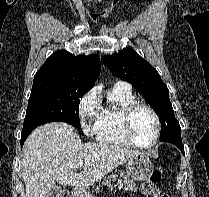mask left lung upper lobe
<instances>
[{"instance_id": "obj_1", "label": "left lung upper lobe", "mask_w": 209, "mask_h": 197, "mask_svg": "<svg viewBox=\"0 0 209 197\" xmlns=\"http://www.w3.org/2000/svg\"><path fill=\"white\" fill-rule=\"evenodd\" d=\"M105 66L116 76L131 83L159 115L162 141L181 139V128L174 116L169 90L159 73L133 49L102 58Z\"/></svg>"}]
</instances>
